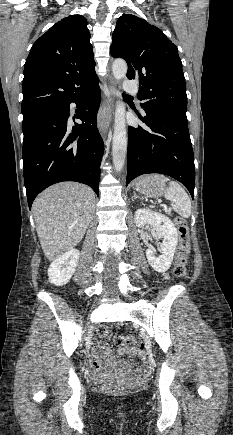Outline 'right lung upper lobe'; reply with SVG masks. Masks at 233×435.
<instances>
[{
	"instance_id": "obj_1",
	"label": "right lung upper lobe",
	"mask_w": 233,
	"mask_h": 435,
	"mask_svg": "<svg viewBox=\"0 0 233 435\" xmlns=\"http://www.w3.org/2000/svg\"><path fill=\"white\" fill-rule=\"evenodd\" d=\"M90 36L87 20L70 15L33 44L24 66L23 117L63 104L96 76Z\"/></svg>"
}]
</instances>
